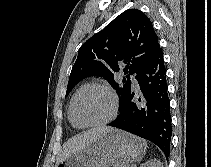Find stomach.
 I'll return each mask as SVG.
<instances>
[{"label":"stomach","instance_id":"obj_1","mask_svg":"<svg viewBox=\"0 0 211 167\" xmlns=\"http://www.w3.org/2000/svg\"><path fill=\"white\" fill-rule=\"evenodd\" d=\"M146 142L129 133L112 129L83 150L75 152L55 167H128L141 160Z\"/></svg>","mask_w":211,"mask_h":167}]
</instances>
